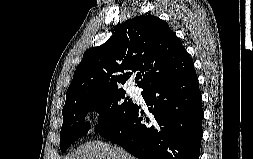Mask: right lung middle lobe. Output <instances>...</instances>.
I'll return each mask as SVG.
<instances>
[{
	"instance_id": "right-lung-middle-lobe-1",
	"label": "right lung middle lobe",
	"mask_w": 253,
	"mask_h": 159,
	"mask_svg": "<svg viewBox=\"0 0 253 159\" xmlns=\"http://www.w3.org/2000/svg\"><path fill=\"white\" fill-rule=\"evenodd\" d=\"M138 105L125 98L124 90L102 92L75 99L63 107L60 149L64 152L75 140L87 134L85 117L89 111L99 112L95 132H105L122 124Z\"/></svg>"
}]
</instances>
